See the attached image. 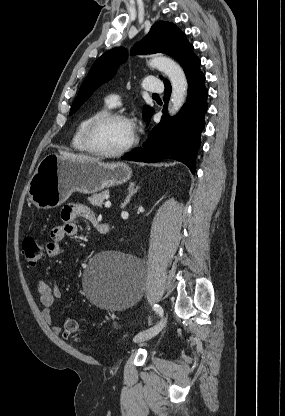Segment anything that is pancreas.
Segmentation results:
<instances>
[{"label":"pancreas","instance_id":"pancreas-1","mask_svg":"<svg viewBox=\"0 0 285 416\" xmlns=\"http://www.w3.org/2000/svg\"><path fill=\"white\" fill-rule=\"evenodd\" d=\"M106 196H109V190H104L101 194H93L88 198L90 204L92 206H98V208H102L103 200H106Z\"/></svg>","mask_w":285,"mask_h":416}]
</instances>
